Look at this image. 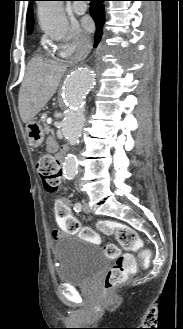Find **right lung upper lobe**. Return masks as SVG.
<instances>
[{"label": "right lung upper lobe", "instance_id": "obj_1", "mask_svg": "<svg viewBox=\"0 0 183 329\" xmlns=\"http://www.w3.org/2000/svg\"><path fill=\"white\" fill-rule=\"evenodd\" d=\"M29 1H34V0H29ZM32 24H33L32 8L29 7L27 14V29L29 33L32 32Z\"/></svg>", "mask_w": 183, "mask_h": 329}]
</instances>
